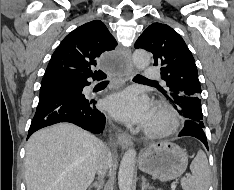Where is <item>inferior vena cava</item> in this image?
<instances>
[{"label": "inferior vena cava", "instance_id": "1", "mask_svg": "<svg viewBox=\"0 0 234 190\" xmlns=\"http://www.w3.org/2000/svg\"><path fill=\"white\" fill-rule=\"evenodd\" d=\"M109 161H110V153L108 152L107 149H104L98 163L97 171L98 175L103 178L104 175L106 174V171L109 166Z\"/></svg>", "mask_w": 234, "mask_h": 190}]
</instances>
